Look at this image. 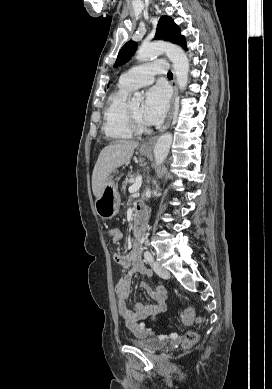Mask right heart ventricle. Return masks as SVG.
I'll list each match as a JSON object with an SVG mask.
<instances>
[{
  "label": "right heart ventricle",
  "mask_w": 272,
  "mask_h": 389,
  "mask_svg": "<svg viewBox=\"0 0 272 389\" xmlns=\"http://www.w3.org/2000/svg\"><path fill=\"white\" fill-rule=\"evenodd\" d=\"M130 88L118 84L107 100L104 111L103 132L111 140L130 139L133 135L127 121V96Z\"/></svg>",
  "instance_id": "obj_1"
}]
</instances>
